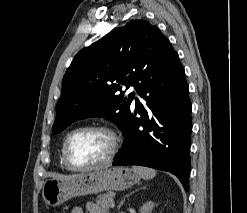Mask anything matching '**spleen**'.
I'll return each instance as SVG.
<instances>
[{"label": "spleen", "instance_id": "1", "mask_svg": "<svg viewBox=\"0 0 247 213\" xmlns=\"http://www.w3.org/2000/svg\"><path fill=\"white\" fill-rule=\"evenodd\" d=\"M132 170L145 180L152 179L156 176V171L151 168L142 167V166H133Z\"/></svg>", "mask_w": 247, "mask_h": 213}]
</instances>
